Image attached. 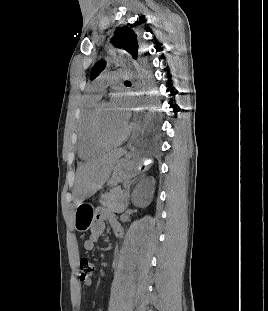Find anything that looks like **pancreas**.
<instances>
[{
  "instance_id": "cf45deb5",
  "label": "pancreas",
  "mask_w": 268,
  "mask_h": 311,
  "mask_svg": "<svg viewBox=\"0 0 268 311\" xmlns=\"http://www.w3.org/2000/svg\"><path fill=\"white\" fill-rule=\"evenodd\" d=\"M100 203L115 213H122L127 207V197L120 189H113L101 196Z\"/></svg>"
}]
</instances>
